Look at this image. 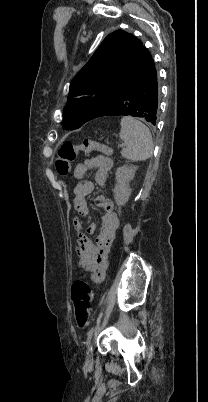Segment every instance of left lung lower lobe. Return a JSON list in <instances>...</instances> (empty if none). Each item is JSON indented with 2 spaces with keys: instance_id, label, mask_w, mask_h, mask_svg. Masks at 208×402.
<instances>
[{
  "instance_id": "0a47b994",
  "label": "left lung lower lobe",
  "mask_w": 208,
  "mask_h": 402,
  "mask_svg": "<svg viewBox=\"0 0 208 402\" xmlns=\"http://www.w3.org/2000/svg\"><path fill=\"white\" fill-rule=\"evenodd\" d=\"M141 64L101 116L131 115L156 125L158 117L159 85L154 60L142 45Z\"/></svg>"
}]
</instances>
